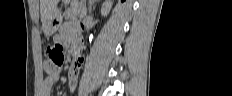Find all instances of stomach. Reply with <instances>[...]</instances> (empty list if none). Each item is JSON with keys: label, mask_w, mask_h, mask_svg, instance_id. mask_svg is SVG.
<instances>
[{"label": "stomach", "mask_w": 232, "mask_h": 96, "mask_svg": "<svg viewBox=\"0 0 232 96\" xmlns=\"http://www.w3.org/2000/svg\"><path fill=\"white\" fill-rule=\"evenodd\" d=\"M61 23L62 14L60 10L55 8L43 26L44 33L48 36L53 35L58 30Z\"/></svg>", "instance_id": "1"}]
</instances>
